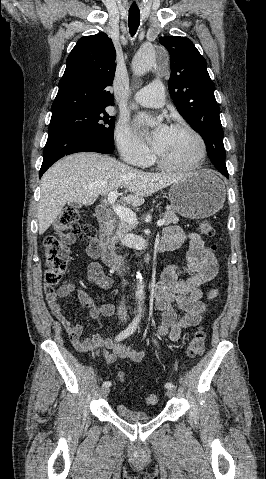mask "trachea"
Returning a JSON list of instances; mask_svg holds the SVG:
<instances>
[{
    "instance_id": "obj_1",
    "label": "trachea",
    "mask_w": 266,
    "mask_h": 479,
    "mask_svg": "<svg viewBox=\"0 0 266 479\" xmlns=\"http://www.w3.org/2000/svg\"><path fill=\"white\" fill-rule=\"evenodd\" d=\"M140 24V11L129 9L128 26L131 36H134Z\"/></svg>"
}]
</instances>
